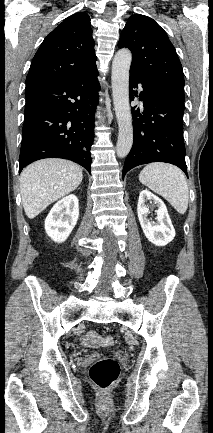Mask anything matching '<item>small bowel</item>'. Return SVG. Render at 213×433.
I'll return each mask as SVG.
<instances>
[{"label": "small bowel", "mask_w": 213, "mask_h": 433, "mask_svg": "<svg viewBox=\"0 0 213 433\" xmlns=\"http://www.w3.org/2000/svg\"><path fill=\"white\" fill-rule=\"evenodd\" d=\"M81 343L86 347H96L103 345L102 337L95 331H90L81 338Z\"/></svg>", "instance_id": "c3829d8e"}]
</instances>
